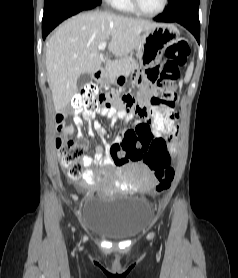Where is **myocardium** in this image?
I'll list each match as a JSON object with an SVG mask.
<instances>
[{
    "mask_svg": "<svg viewBox=\"0 0 238 278\" xmlns=\"http://www.w3.org/2000/svg\"><path fill=\"white\" fill-rule=\"evenodd\" d=\"M129 1L135 12H137L138 14H140L144 17H148V18H155V17L160 16L162 13L165 12V10L168 6V3H169V0H163L161 8L156 12L150 13V12H146L145 10H143L141 8L138 0H129Z\"/></svg>",
    "mask_w": 238,
    "mask_h": 278,
    "instance_id": "f54148a6",
    "label": "myocardium"
}]
</instances>
